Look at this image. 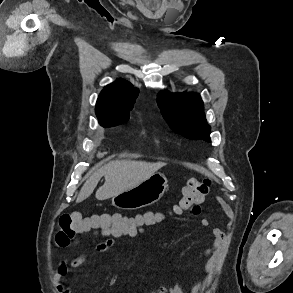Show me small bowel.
I'll return each mask as SVG.
<instances>
[{
	"mask_svg": "<svg viewBox=\"0 0 293 293\" xmlns=\"http://www.w3.org/2000/svg\"><path fill=\"white\" fill-rule=\"evenodd\" d=\"M200 204V203H199ZM199 210V205L192 210V213H197ZM136 219L140 222L139 226L121 233H111L106 234L105 238L95 245V251L97 253H108L113 250L115 239L120 237H136L143 233V227L154 226L162 220V216L159 214H154L152 212L145 213L143 215H138ZM201 224L205 227L211 226V221L209 219H202ZM213 242L210 247L202 249L198 252L199 257L208 256L221 249L224 242V233L221 229L217 227L212 228ZM86 262V256L80 255L70 262H62L58 265L54 275L53 281L57 286L59 293H71L69 286L62 284L61 282L67 278V274L71 269L78 268ZM116 282V277H113L110 283L113 285ZM204 283H198L190 288L186 289L180 284H174L168 288H162L158 293H195L202 288Z\"/></svg>",
	"mask_w": 293,
	"mask_h": 293,
	"instance_id": "small-bowel-1",
	"label": "small bowel"
}]
</instances>
